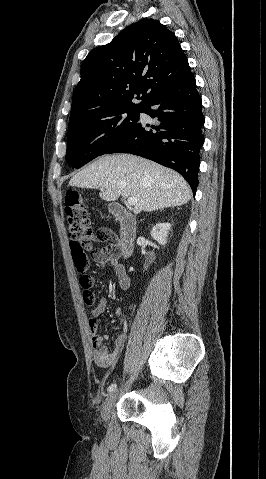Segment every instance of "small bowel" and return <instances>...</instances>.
Returning a JSON list of instances; mask_svg holds the SVG:
<instances>
[{
  "instance_id": "obj_1",
  "label": "small bowel",
  "mask_w": 266,
  "mask_h": 479,
  "mask_svg": "<svg viewBox=\"0 0 266 479\" xmlns=\"http://www.w3.org/2000/svg\"><path fill=\"white\" fill-rule=\"evenodd\" d=\"M111 251L112 247L110 245L106 248L96 251L93 255V261L99 268L106 266L113 267L119 288L125 290L130 286V278L124 265L121 264L118 259L111 254ZM106 307L107 300L105 297H101L96 307L92 310V317L89 320L92 358L94 362L101 368H108L115 364L126 341L125 334H121L115 339L113 348L111 350L104 345V341H107L110 338V334L107 332H99L98 317L105 312ZM129 308L131 309L132 306ZM115 315L120 318H125V312L123 308L120 306L117 307L115 309Z\"/></svg>"
}]
</instances>
